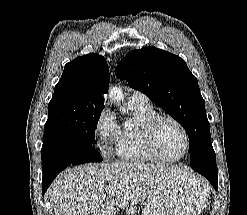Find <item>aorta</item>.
<instances>
[{"label":"aorta","instance_id":"762f6f07","mask_svg":"<svg viewBox=\"0 0 247 215\" xmlns=\"http://www.w3.org/2000/svg\"><path fill=\"white\" fill-rule=\"evenodd\" d=\"M109 98L114 102L123 100L122 90L119 87H111L109 90Z\"/></svg>","mask_w":247,"mask_h":215}]
</instances>
